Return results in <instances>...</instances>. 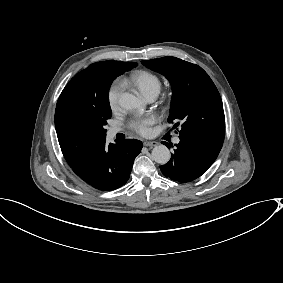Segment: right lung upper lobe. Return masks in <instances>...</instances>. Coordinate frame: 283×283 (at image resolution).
<instances>
[{
  "label": "right lung upper lobe",
  "instance_id": "1",
  "mask_svg": "<svg viewBox=\"0 0 283 283\" xmlns=\"http://www.w3.org/2000/svg\"><path fill=\"white\" fill-rule=\"evenodd\" d=\"M135 66L137 63L121 61L93 63L63 89L56 105L55 128L62 153L71 168L83 162L106 140V134L87 123L85 113L106 102L113 80Z\"/></svg>",
  "mask_w": 283,
  "mask_h": 283
}]
</instances>
